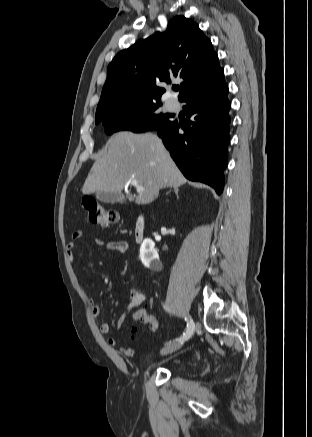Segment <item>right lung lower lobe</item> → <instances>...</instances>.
Segmentation results:
<instances>
[{"label":"right lung lower lobe","instance_id":"1","mask_svg":"<svg viewBox=\"0 0 312 437\" xmlns=\"http://www.w3.org/2000/svg\"><path fill=\"white\" fill-rule=\"evenodd\" d=\"M227 95L228 86L221 73L181 100L187 103L186 125L172 121L157 130L184 176L210 185L218 194L223 191V172L228 163L230 102ZM180 128L183 134L179 133Z\"/></svg>","mask_w":312,"mask_h":437}]
</instances>
